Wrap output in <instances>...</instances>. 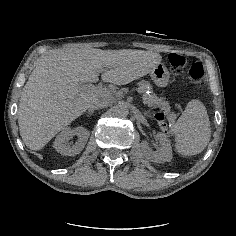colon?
<instances>
[{
	"mask_svg": "<svg viewBox=\"0 0 236 236\" xmlns=\"http://www.w3.org/2000/svg\"><path fill=\"white\" fill-rule=\"evenodd\" d=\"M168 63L172 67L175 72L180 73L181 69L187 64L189 58L186 54L178 53V52H171L168 55ZM205 75V69L201 62H194L190 66L188 71L189 78L195 82H200ZM162 117V112H157V119L160 120Z\"/></svg>",
	"mask_w": 236,
	"mask_h": 236,
	"instance_id": "1",
	"label": "colon"
}]
</instances>
